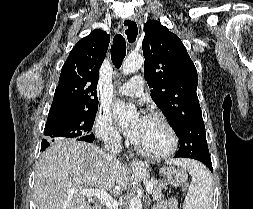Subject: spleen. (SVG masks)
<instances>
[{
    "label": "spleen",
    "mask_w": 253,
    "mask_h": 209,
    "mask_svg": "<svg viewBox=\"0 0 253 209\" xmlns=\"http://www.w3.org/2000/svg\"><path fill=\"white\" fill-rule=\"evenodd\" d=\"M186 169L192 177L183 209H211L213 184L207 168L194 160L176 159L167 161Z\"/></svg>",
    "instance_id": "1"
}]
</instances>
